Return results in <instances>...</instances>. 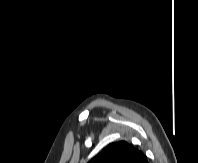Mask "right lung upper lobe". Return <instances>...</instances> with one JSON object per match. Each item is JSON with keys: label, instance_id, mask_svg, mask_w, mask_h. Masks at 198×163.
<instances>
[{"label": "right lung upper lobe", "instance_id": "1", "mask_svg": "<svg viewBox=\"0 0 198 163\" xmlns=\"http://www.w3.org/2000/svg\"><path fill=\"white\" fill-rule=\"evenodd\" d=\"M88 163H148L140 150L126 141L110 143Z\"/></svg>", "mask_w": 198, "mask_h": 163}]
</instances>
